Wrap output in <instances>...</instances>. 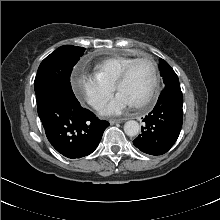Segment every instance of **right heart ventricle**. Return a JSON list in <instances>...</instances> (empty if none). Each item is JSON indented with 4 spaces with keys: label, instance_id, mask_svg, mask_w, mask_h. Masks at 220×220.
Here are the masks:
<instances>
[{
    "label": "right heart ventricle",
    "instance_id": "1",
    "mask_svg": "<svg viewBox=\"0 0 220 220\" xmlns=\"http://www.w3.org/2000/svg\"><path fill=\"white\" fill-rule=\"evenodd\" d=\"M135 59L132 56L106 58L93 67L94 73L104 82L114 86L125 67Z\"/></svg>",
    "mask_w": 220,
    "mask_h": 220
}]
</instances>
